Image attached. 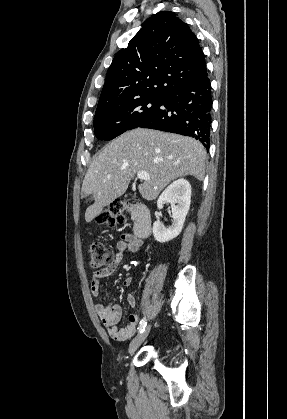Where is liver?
<instances>
[{"instance_id": "6515ba94", "label": "liver", "mask_w": 287, "mask_h": 419, "mask_svg": "<svg viewBox=\"0 0 287 419\" xmlns=\"http://www.w3.org/2000/svg\"><path fill=\"white\" fill-rule=\"evenodd\" d=\"M205 159L203 145L193 138L143 128L125 132L107 144L87 170L81 191L94 203L86 209V222L122 196L139 171L150 177L139 184V192L153 200L179 177L191 175L202 181Z\"/></svg>"}]
</instances>
